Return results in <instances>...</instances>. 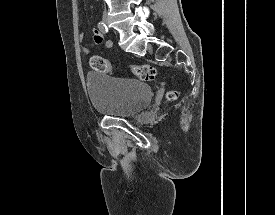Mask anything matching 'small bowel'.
<instances>
[{
  "label": "small bowel",
  "mask_w": 275,
  "mask_h": 215,
  "mask_svg": "<svg viewBox=\"0 0 275 215\" xmlns=\"http://www.w3.org/2000/svg\"><path fill=\"white\" fill-rule=\"evenodd\" d=\"M99 30H100V29H99ZM99 30H93V31H92V37H93V40H94V42H95L96 44H100V43H102V41H103V35H102L101 31H99ZM84 37H85V34H84V33H81L80 36H79L80 40H83ZM104 45H105L106 48H111L112 45H113V43H112V41L107 40V41L104 43ZM81 52H82V54H84V55H89V54H90V49H89L88 47H82V48H81Z\"/></svg>",
  "instance_id": "c3829d8e"
}]
</instances>
